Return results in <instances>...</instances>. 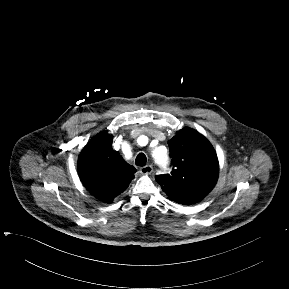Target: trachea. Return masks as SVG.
Instances as JSON below:
<instances>
[{
	"instance_id": "1",
	"label": "trachea",
	"mask_w": 289,
	"mask_h": 289,
	"mask_svg": "<svg viewBox=\"0 0 289 289\" xmlns=\"http://www.w3.org/2000/svg\"><path fill=\"white\" fill-rule=\"evenodd\" d=\"M146 162H147V158H146L145 154H143V153L138 154V156L135 159V163L137 166L143 167L146 165Z\"/></svg>"
}]
</instances>
